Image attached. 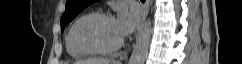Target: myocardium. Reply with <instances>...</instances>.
<instances>
[{
	"mask_svg": "<svg viewBox=\"0 0 242 64\" xmlns=\"http://www.w3.org/2000/svg\"><path fill=\"white\" fill-rule=\"evenodd\" d=\"M93 19H114V17L110 13L106 12H91L84 16H82L74 25L73 31H72V42L74 46L81 52L87 54V55H108L116 52L119 50L124 41L121 39L117 44H115L112 47L108 48H95L90 47L85 44H83L78 37V31L80 27L85 24L88 21H91Z\"/></svg>",
	"mask_w": 242,
	"mask_h": 64,
	"instance_id": "f54148a6",
	"label": "myocardium"
}]
</instances>
